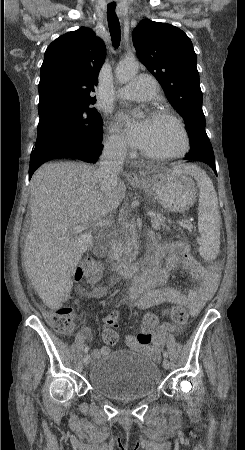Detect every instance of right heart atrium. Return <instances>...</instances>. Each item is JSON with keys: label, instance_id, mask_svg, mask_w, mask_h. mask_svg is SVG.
Here are the masks:
<instances>
[{"label": "right heart atrium", "instance_id": "right-heart-atrium-1", "mask_svg": "<svg viewBox=\"0 0 245 450\" xmlns=\"http://www.w3.org/2000/svg\"><path fill=\"white\" fill-rule=\"evenodd\" d=\"M107 148L116 153L122 154L126 150V143L119 135L111 133L106 141Z\"/></svg>", "mask_w": 245, "mask_h": 450}]
</instances>
